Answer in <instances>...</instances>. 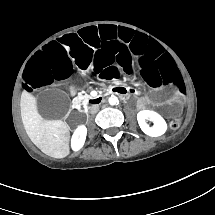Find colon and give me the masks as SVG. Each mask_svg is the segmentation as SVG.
<instances>
[{"label": "colon", "instance_id": "colon-1", "mask_svg": "<svg viewBox=\"0 0 215 215\" xmlns=\"http://www.w3.org/2000/svg\"><path fill=\"white\" fill-rule=\"evenodd\" d=\"M184 113V109H181L180 114L177 117H174L170 121V126L173 129L179 128L181 124V117Z\"/></svg>", "mask_w": 215, "mask_h": 215}]
</instances>
